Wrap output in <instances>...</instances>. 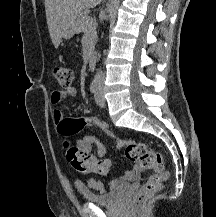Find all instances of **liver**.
Returning a JSON list of instances; mask_svg holds the SVG:
<instances>
[{"mask_svg": "<svg viewBox=\"0 0 216 217\" xmlns=\"http://www.w3.org/2000/svg\"><path fill=\"white\" fill-rule=\"evenodd\" d=\"M102 0H45L47 25L52 43L58 48L65 32L84 10L96 7Z\"/></svg>", "mask_w": 216, "mask_h": 217, "instance_id": "1", "label": "liver"}]
</instances>
